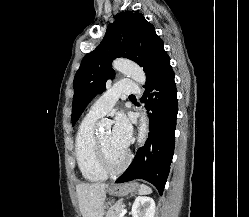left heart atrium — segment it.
<instances>
[{
    "instance_id": "obj_1",
    "label": "left heart atrium",
    "mask_w": 249,
    "mask_h": 217,
    "mask_svg": "<svg viewBox=\"0 0 249 217\" xmlns=\"http://www.w3.org/2000/svg\"><path fill=\"white\" fill-rule=\"evenodd\" d=\"M131 136V127L125 116L116 117L113 130L111 132V140L115 147L125 150L129 144Z\"/></svg>"
}]
</instances>
